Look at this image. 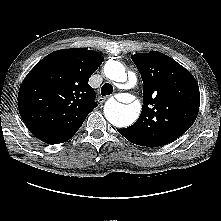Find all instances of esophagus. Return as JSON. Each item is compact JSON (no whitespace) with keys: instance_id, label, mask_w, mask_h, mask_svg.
Here are the masks:
<instances>
[{"instance_id":"34e87169","label":"esophagus","mask_w":221,"mask_h":221,"mask_svg":"<svg viewBox=\"0 0 221 221\" xmlns=\"http://www.w3.org/2000/svg\"><path fill=\"white\" fill-rule=\"evenodd\" d=\"M107 98H108V97H99V98L97 99V101H98V103L103 104V103L106 101Z\"/></svg>"}]
</instances>
